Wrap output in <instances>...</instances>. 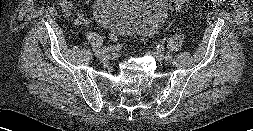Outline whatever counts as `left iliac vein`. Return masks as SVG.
<instances>
[{"label":"left iliac vein","instance_id":"1","mask_svg":"<svg viewBox=\"0 0 253 131\" xmlns=\"http://www.w3.org/2000/svg\"><path fill=\"white\" fill-rule=\"evenodd\" d=\"M149 54L159 62H162L163 60L170 61L172 59L171 55L164 56L162 52L157 50H149Z\"/></svg>","mask_w":253,"mask_h":131}]
</instances>
